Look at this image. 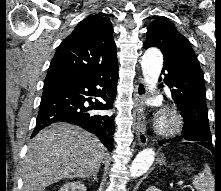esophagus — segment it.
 Segmentation results:
<instances>
[{"mask_svg":"<svg viewBox=\"0 0 221 191\" xmlns=\"http://www.w3.org/2000/svg\"><path fill=\"white\" fill-rule=\"evenodd\" d=\"M146 97V83L142 78H139L135 93L134 100L136 103V133L138 137V144L140 146H145L148 142V137L146 135L145 127V113H144V99Z\"/></svg>","mask_w":221,"mask_h":191,"instance_id":"34e87169","label":"esophagus"}]
</instances>
